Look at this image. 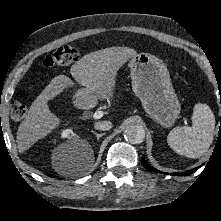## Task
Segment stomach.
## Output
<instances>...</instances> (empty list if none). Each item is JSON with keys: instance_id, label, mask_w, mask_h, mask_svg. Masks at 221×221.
Segmentation results:
<instances>
[{"instance_id": "stomach-1", "label": "stomach", "mask_w": 221, "mask_h": 221, "mask_svg": "<svg viewBox=\"0 0 221 221\" xmlns=\"http://www.w3.org/2000/svg\"><path fill=\"white\" fill-rule=\"evenodd\" d=\"M129 68L133 92L146 113L162 127H172L179 118L181 106L164 62L152 54L140 53L131 58ZM76 97L90 100L85 89Z\"/></svg>"}]
</instances>
